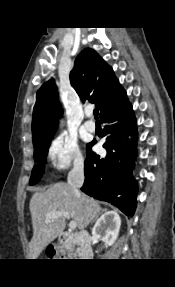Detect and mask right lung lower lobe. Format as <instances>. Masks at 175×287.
Returning a JSON list of instances; mask_svg holds the SVG:
<instances>
[{"instance_id":"right-lung-lower-lobe-1","label":"right lung lower lobe","mask_w":175,"mask_h":287,"mask_svg":"<svg viewBox=\"0 0 175 287\" xmlns=\"http://www.w3.org/2000/svg\"><path fill=\"white\" fill-rule=\"evenodd\" d=\"M105 123L103 147L105 158H100L87 147L85 182L81 190L86 194L107 201L132 217L137 201V182L132 175L136 159L137 126L130 102L125 100L101 117Z\"/></svg>"}]
</instances>
